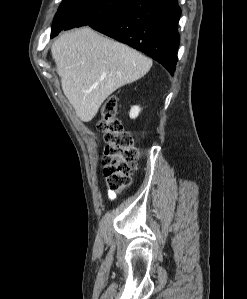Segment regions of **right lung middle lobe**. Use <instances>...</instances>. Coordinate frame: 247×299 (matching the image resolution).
Segmentation results:
<instances>
[{"mask_svg":"<svg viewBox=\"0 0 247 299\" xmlns=\"http://www.w3.org/2000/svg\"><path fill=\"white\" fill-rule=\"evenodd\" d=\"M132 0H63L55 15L51 37L61 30L92 25L127 7Z\"/></svg>","mask_w":247,"mask_h":299,"instance_id":"1","label":"right lung middle lobe"}]
</instances>
